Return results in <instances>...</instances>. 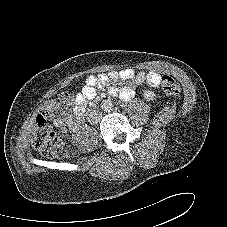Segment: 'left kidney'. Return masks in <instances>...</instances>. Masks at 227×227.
<instances>
[{
    "mask_svg": "<svg viewBox=\"0 0 227 227\" xmlns=\"http://www.w3.org/2000/svg\"><path fill=\"white\" fill-rule=\"evenodd\" d=\"M144 97L147 99V100H155L156 99V94L154 93V91L152 90H146L144 92Z\"/></svg>",
    "mask_w": 227,
    "mask_h": 227,
    "instance_id": "1",
    "label": "left kidney"
}]
</instances>
